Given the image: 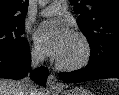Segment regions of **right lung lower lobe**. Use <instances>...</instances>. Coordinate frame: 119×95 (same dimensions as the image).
Returning a JSON list of instances; mask_svg holds the SVG:
<instances>
[{"mask_svg":"<svg viewBox=\"0 0 119 95\" xmlns=\"http://www.w3.org/2000/svg\"><path fill=\"white\" fill-rule=\"evenodd\" d=\"M30 67V48L28 42L20 48L0 49V78L21 79ZM48 69L40 67L31 78L41 86L46 85Z\"/></svg>","mask_w":119,"mask_h":95,"instance_id":"right-lung-lower-lobe-1","label":"right lung lower lobe"}]
</instances>
